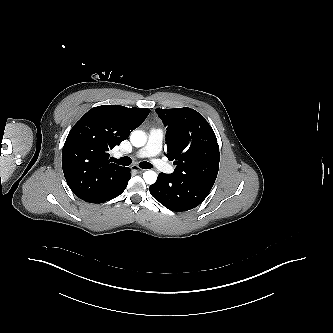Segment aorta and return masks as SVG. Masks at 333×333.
I'll return each mask as SVG.
<instances>
[{
    "mask_svg": "<svg viewBox=\"0 0 333 333\" xmlns=\"http://www.w3.org/2000/svg\"><path fill=\"white\" fill-rule=\"evenodd\" d=\"M130 141H131L132 145L135 147L144 146L147 141L145 132H143L142 130H134L131 133ZM143 179L147 184L151 185L156 182L157 174H156V172H154L152 170L145 171L143 173Z\"/></svg>",
    "mask_w": 333,
    "mask_h": 333,
    "instance_id": "aorta-1",
    "label": "aorta"
}]
</instances>
